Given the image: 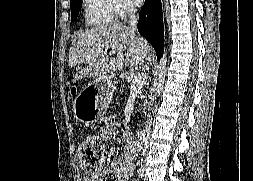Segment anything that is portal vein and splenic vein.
I'll list each match as a JSON object with an SVG mask.
<instances>
[{
    "mask_svg": "<svg viewBox=\"0 0 253 181\" xmlns=\"http://www.w3.org/2000/svg\"><path fill=\"white\" fill-rule=\"evenodd\" d=\"M109 55L112 56L113 54L110 53ZM129 78L131 79L130 90L134 92H138L142 88L141 80L135 77L134 75H131Z\"/></svg>",
    "mask_w": 253,
    "mask_h": 181,
    "instance_id": "18ae733b",
    "label": "portal vein and splenic vein"
}]
</instances>
